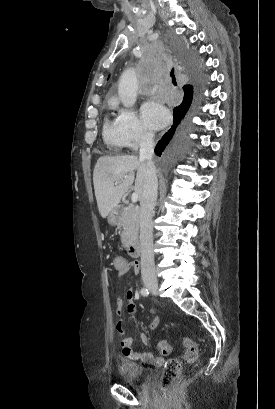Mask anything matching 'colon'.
I'll list each match as a JSON object with an SVG mask.
<instances>
[{
	"label": "colon",
	"mask_w": 275,
	"mask_h": 409,
	"mask_svg": "<svg viewBox=\"0 0 275 409\" xmlns=\"http://www.w3.org/2000/svg\"><path fill=\"white\" fill-rule=\"evenodd\" d=\"M114 263L118 269L119 274L125 273V263L122 256H116L114 258ZM132 311V310H131ZM181 344L184 347L183 361L186 363H193L198 358L199 349L197 344L190 338L183 336L181 339ZM160 352L165 356L171 347L169 340H160L158 343ZM182 360L177 358L169 359L165 366L163 375L161 377L162 388H167L176 384L181 377Z\"/></svg>",
	"instance_id": "obj_1"
}]
</instances>
